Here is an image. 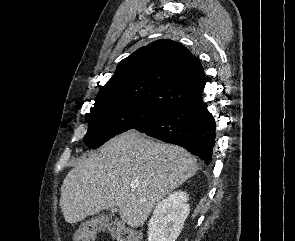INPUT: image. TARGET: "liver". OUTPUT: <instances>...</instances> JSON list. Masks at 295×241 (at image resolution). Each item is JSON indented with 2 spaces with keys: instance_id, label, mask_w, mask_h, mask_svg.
<instances>
[{
  "instance_id": "liver-1",
  "label": "liver",
  "mask_w": 295,
  "mask_h": 241,
  "mask_svg": "<svg viewBox=\"0 0 295 241\" xmlns=\"http://www.w3.org/2000/svg\"><path fill=\"white\" fill-rule=\"evenodd\" d=\"M197 169L196 159L184 148L130 131L69 171L61 186L60 207L72 224L117 206L122 221L138 228L154 206Z\"/></svg>"
}]
</instances>
